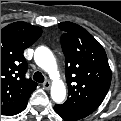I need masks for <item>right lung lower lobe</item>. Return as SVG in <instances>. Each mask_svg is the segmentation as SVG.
<instances>
[{
  "instance_id": "right-lung-lower-lobe-1",
  "label": "right lung lower lobe",
  "mask_w": 121,
  "mask_h": 121,
  "mask_svg": "<svg viewBox=\"0 0 121 121\" xmlns=\"http://www.w3.org/2000/svg\"><path fill=\"white\" fill-rule=\"evenodd\" d=\"M27 102H28V100L22 106H20L19 108H17L15 111H13V112H11V113H9L7 115L11 116V115H15V114L20 113L21 111H23L26 108Z\"/></svg>"
}]
</instances>
